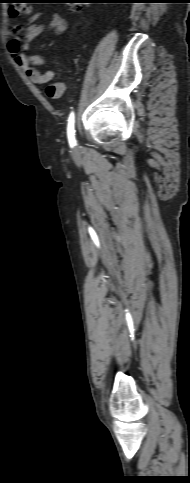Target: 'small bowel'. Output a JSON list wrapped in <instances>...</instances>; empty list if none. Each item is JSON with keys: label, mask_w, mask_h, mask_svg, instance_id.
Returning <instances> with one entry per match:
<instances>
[{"label": "small bowel", "mask_w": 190, "mask_h": 483, "mask_svg": "<svg viewBox=\"0 0 190 483\" xmlns=\"http://www.w3.org/2000/svg\"><path fill=\"white\" fill-rule=\"evenodd\" d=\"M43 14H35L28 20V26L23 30L20 26H14L11 29V37L7 42V50L15 63L24 71L28 79L39 86L48 84L54 77L53 71L40 72L34 66L45 64L43 57L39 55L29 54V43L41 35L47 29H51L55 34H62L67 28L66 21L58 14H54L48 24H43L39 20ZM23 32V38L21 34ZM65 90L62 82L49 84L46 88V94L52 99L61 96Z\"/></svg>", "instance_id": "c3829d8e"}]
</instances>
